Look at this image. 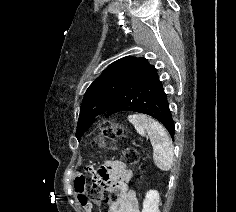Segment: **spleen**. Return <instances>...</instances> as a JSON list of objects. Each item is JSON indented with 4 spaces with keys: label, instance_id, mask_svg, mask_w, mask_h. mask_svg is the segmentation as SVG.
Listing matches in <instances>:
<instances>
[{
    "label": "spleen",
    "instance_id": "1",
    "mask_svg": "<svg viewBox=\"0 0 236 212\" xmlns=\"http://www.w3.org/2000/svg\"><path fill=\"white\" fill-rule=\"evenodd\" d=\"M128 120L141 136L150 138L156 166L163 171L170 170L174 159L173 144L165 128L144 114L129 115Z\"/></svg>",
    "mask_w": 236,
    "mask_h": 212
}]
</instances>
